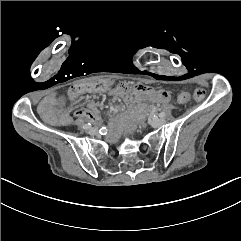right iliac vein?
<instances>
[{"label": "right iliac vein", "instance_id": "63e3f726", "mask_svg": "<svg viewBox=\"0 0 241 241\" xmlns=\"http://www.w3.org/2000/svg\"><path fill=\"white\" fill-rule=\"evenodd\" d=\"M88 132H89V134H91V135H96L97 132H98V129H97L96 127H94V128L89 129Z\"/></svg>", "mask_w": 241, "mask_h": 241}]
</instances>
